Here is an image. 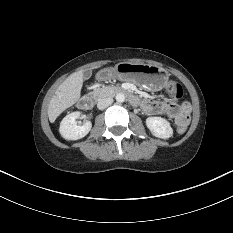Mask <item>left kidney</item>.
<instances>
[{
    "label": "left kidney",
    "mask_w": 233,
    "mask_h": 233,
    "mask_svg": "<svg viewBox=\"0 0 233 233\" xmlns=\"http://www.w3.org/2000/svg\"><path fill=\"white\" fill-rule=\"evenodd\" d=\"M147 128L158 138L168 139L173 135L170 123L161 117H148L146 119Z\"/></svg>",
    "instance_id": "5707ae66"
}]
</instances>
